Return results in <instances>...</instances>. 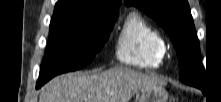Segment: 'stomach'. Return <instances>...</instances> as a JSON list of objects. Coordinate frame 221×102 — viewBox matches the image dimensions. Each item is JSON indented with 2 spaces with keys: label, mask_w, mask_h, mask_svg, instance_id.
Returning a JSON list of instances; mask_svg holds the SVG:
<instances>
[{
  "label": "stomach",
  "mask_w": 221,
  "mask_h": 102,
  "mask_svg": "<svg viewBox=\"0 0 221 102\" xmlns=\"http://www.w3.org/2000/svg\"><path fill=\"white\" fill-rule=\"evenodd\" d=\"M168 92L160 85L142 90L139 102H168Z\"/></svg>",
  "instance_id": "obj_1"
}]
</instances>
